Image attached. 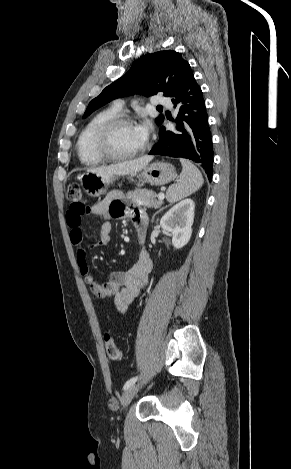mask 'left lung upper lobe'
Returning a JSON list of instances; mask_svg holds the SVG:
<instances>
[{"label": "left lung upper lobe", "mask_w": 291, "mask_h": 469, "mask_svg": "<svg viewBox=\"0 0 291 469\" xmlns=\"http://www.w3.org/2000/svg\"><path fill=\"white\" fill-rule=\"evenodd\" d=\"M189 68V63L182 55L173 50L146 54L138 59L124 76L108 85L89 103L84 117L113 99L135 93L151 96L163 92L164 96L171 97ZM163 120V115L156 118L158 125Z\"/></svg>", "instance_id": "obj_1"}]
</instances>
